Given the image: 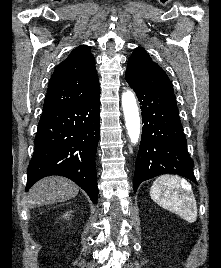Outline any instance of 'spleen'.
Here are the masks:
<instances>
[{"label": "spleen", "instance_id": "1", "mask_svg": "<svg viewBox=\"0 0 221 268\" xmlns=\"http://www.w3.org/2000/svg\"><path fill=\"white\" fill-rule=\"evenodd\" d=\"M150 197L159 206L192 223L197 218L196 200L190 183L175 175L158 177L151 189Z\"/></svg>", "mask_w": 221, "mask_h": 268}]
</instances>
